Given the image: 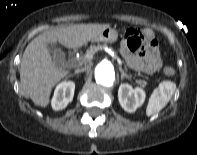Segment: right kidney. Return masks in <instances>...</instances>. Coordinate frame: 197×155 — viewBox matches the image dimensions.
<instances>
[{"label":"right kidney","instance_id":"ca27d5eb","mask_svg":"<svg viewBox=\"0 0 197 155\" xmlns=\"http://www.w3.org/2000/svg\"><path fill=\"white\" fill-rule=\"evenodd\" d=\"M75 91V83L72 81H64L58 84L55 88L54 95L51 101L54 110H62L66 108L68 103L73 100Z\"/></svg>","mask_w":197,"mask_h":155}]
</instances>
